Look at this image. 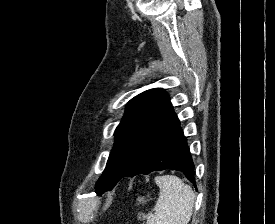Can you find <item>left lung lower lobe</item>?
<instances>
[{
  "mask_svg": "<svg viewBox=\"0 0 275 224\" xmlns=\"http://www.w3.org/2000/svg\"><path fill=\"white\" fill-rule=\"evenodd\" d=\"M165 169L179 170L196 187L194 163L177 115L172 111L146 140L121 177H133ZM121 178H108L96 188L100 194L112 189Z\"/></svg>",
  "mask_w": 275,
  "mask_h": 224,
  "instance_id": "1",
  "label": "left lung lower lobe"
}]
</instances>
